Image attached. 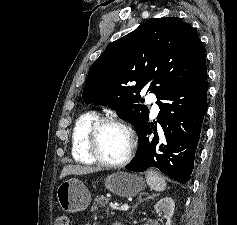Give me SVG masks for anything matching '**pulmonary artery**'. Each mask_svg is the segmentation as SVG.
<instances>
[{
    "instance_id": "obj_1",
    "label": "pulmonary artery",
    "mask_w": 237,
    "mask_h": 225,
    "mask_svg": "<svg viewBox=\"0 0 237 225\" xmlns=\"http://www.w3.org/2000/svg\"><path fill=\"white\" fill-rule=\"evenodd\" d=\"M155 101H156V98H155L154 95H149V96L147 97V102H148L149 104H153V107H152V115H154V116H156L157 113H158V111H159V108H158V106L156 105Z\"/></svg>"
}]
</instances>
